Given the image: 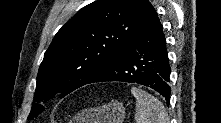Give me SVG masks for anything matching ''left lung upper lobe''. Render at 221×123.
<instances>
[{
    "instance_id": "5c2ea615",
    "label": "left lung upper lobe",
    "mask_w": 221,
    "mask_h": 123,
    "mask_svg": "<svg viewBox=\"0 0 221 123\" xmlns=\"http://www.w3.org/2000/svg\"><path fill=\"white\" fill-rule=\"evenodd\" d=\"M156 16L148 0H97L79 10L44 54L28 119L43 112L40 101L59 92L64 97L87 84Z\"/></svg>"
}]
</instances>
